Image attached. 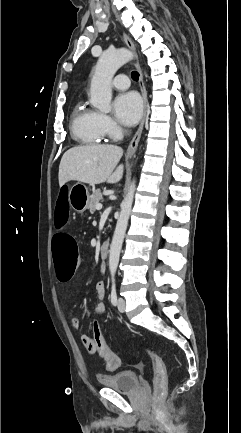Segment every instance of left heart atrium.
<instances>
[{"label":"left heart atrium","instance_id":"left-heart-atrium-1","mask_svg":"<svg viewBox=\"0 0 241 433\" xmlns=\"http://www.w3.org/2000/svg\"><path fill=\"white\" fill-rule=\"evenodd\" d=\"M113 107L116 118L126 126L136 124L143 111L142 100L135 92L118 95L114 100Z\"/></svg>","mask_w":241,"mask_h":433}]
</instances>
